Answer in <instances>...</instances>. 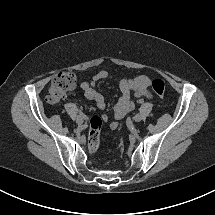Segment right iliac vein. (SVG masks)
I'll return each mask as SVG.
<instances>
[{"label":"right iliac vein","mask_w":215,"mask_h":215,"mask_svg":"<svg viewBox=\"0 0 215 215\" xmlns=\"http://www.w3.org/2000/svg\"><path fill=\"white\" fill-rule=\"evenodd\" d=\"M76 123H77L78 125H81V124L84 123V119H83L82 117H80V116H77V118H76Z\"/></svg>","instance_id":"1"}]
</instances>
